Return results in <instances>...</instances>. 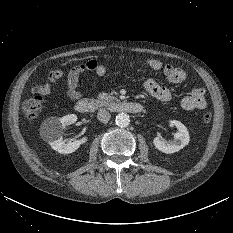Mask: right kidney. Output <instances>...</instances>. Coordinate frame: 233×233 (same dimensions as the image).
<instances>
[{
	"instance_id": "1",
	"label": "right kidney",
	"mask_w": 233,
	"mask_h": 233,
	"mask_svg": "<svg viewBox=\"0 0 233 233\" xmlns=\"http://www.w3.org/2000/svg\"><path fill=\"white\" fill-rule=\"evenodd\" d=\"M77 121L75 114H69L61 118H47L41 126L44 139L49 143L51 148L61 154H69L76 151L80 145L87 142L88 138L83 137L73 142L65 143L62 138L63 129Z\"/></svg>"
}]
</instances>
